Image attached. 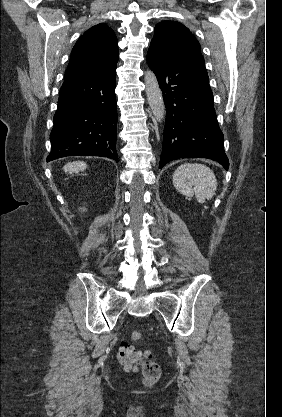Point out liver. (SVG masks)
<instances>
[{"label":"liver","instance_id":"6515ba94","mask_svg":"<svg viewBox=\"0 0 282 417\" xmlns=\"http://www.w3.org/2000/svg\"><path fill=\"white\" fill-rule=\"evenodd\" d=\"M65 172H80V170H85L87 168L86 162H81V160H76V162H67L65 166H63Z\"/></svg>","mask_w":282,"mask_h":417}]
</instances>
